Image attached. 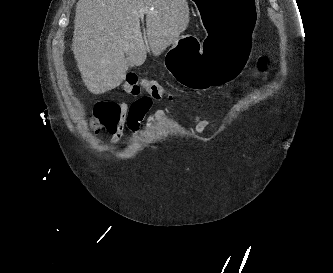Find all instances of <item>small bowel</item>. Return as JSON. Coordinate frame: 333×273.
<instances>
[{
	"instance_id": "1",
	"label": "small bowel",
	"mask_w": 333,
	"mask_h": 273,
	"mask_svg": "<svg viewBox=\"0 0 333 273\" xmlns=\"http://www.w3.org/2000/svg\"><path fill=\"white\" fill-rule=\"evenodd\" d=\"M153 101V96H139L138 100L131 105H127L126 103L119 104L121 123L115 130L110 132L112 145H115L120 141L124 126H126L133 134H136L140 130L143 122L147 128H150L156 122L163 123L165 121V116L170 113L169 108L157 109L147 116ZM192 125L195 128L196 133L201 134L211 125V123L208 120L203 119L201 115H196L192 121Z\"/></svg>"
}]
</instances>
